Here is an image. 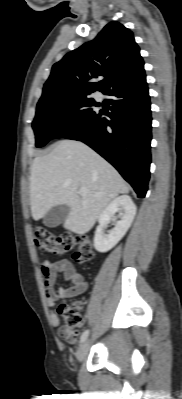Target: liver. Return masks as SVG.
Instances as JSON below:
<instances>
[{"instance_id":"1","label":"liver","mask_w":182,"mask_h":399,"mask_svg":"<svg viewBox=\"0 0 182 399\" xmlns=\"http://www.w3.org/2000/svg\"><path fill=\"white\" fill-rule=\"evenodd\" d=\"M87 189L81 195L79 189ZM129 186L112 165L82 142L59 141L47 155L33 160L31 214L40 220L54 206L67 205L64 228L79 235L94 226L103 209Z\"/></svg>"}]
</instances>
